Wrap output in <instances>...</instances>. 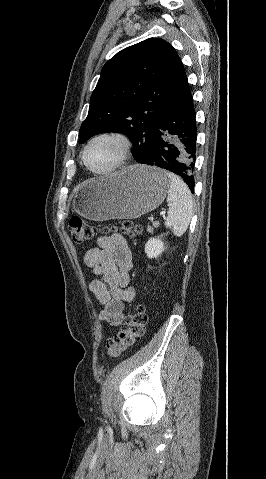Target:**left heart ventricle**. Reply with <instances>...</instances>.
Listing matches in <instances>:
<instances>
[{
  "mask_svg": "<svg viewBox=\"0 0 266 479\" xmlns=\"http://www.w3.org/2000/svg\"><path fill=\"white\" fill-rule=\"evenodd\" d=\"M119 150V145L114 140L98 141L88 151V163L96 170H106L115 163Z\"/></svg>",
  "mask_w": 266,
  "mask_h": 479,
  "instance_id": "1",
  "label": "left heart ventricle"
}]
</instances>
